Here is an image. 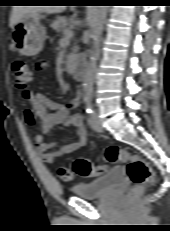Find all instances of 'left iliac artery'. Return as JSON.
Here are the masks:
<instances>
[{
	"instance_id": "44dca946",
	"label": "left iliac artery",
	"mask_w": 170,
	"mask_h": 231,
	"mask_svg": "<svg viewBox=\"0 0 170 231\" xmlns=\"http://www.w3.org/2000/svg\"><path fill=\"white\" fill-rule=\"evenodd\" d=\"M92 95H93V91L91 89H87L85 91L84 102L86 104V112L88 114L94 113L93 106H92Z\"/></svg>"
}]
</instances>
